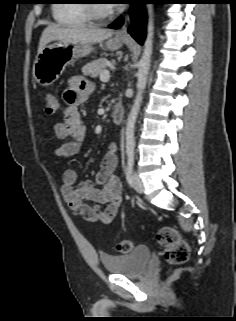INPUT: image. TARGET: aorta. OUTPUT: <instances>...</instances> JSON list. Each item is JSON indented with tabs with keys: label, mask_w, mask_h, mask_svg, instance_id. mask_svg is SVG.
I'll use <instances>...</instances> for the list:
<instances>
[{
	"label": "aorta",
	"mask_w": 236,
	"mask_h": 321,
	"mask_svg": "<svg viewBox=\"0 0 236 321\" xmlns=\"http://www.w3.org/2000/svg\"><path fill=\"white\" fill-rule=\"evenodd\" d=\"M147 36L144 42V49L142 57L138 63L137 76V94L134 100L132 109L128 115L125 128V140H126V149L127 151H132L134 149L135 138V123L140 111L141 102L143 98V92L147 83V76L149 72L151 56L153 51V35H154V6L152 4H147Z\"/></svg>",
	"instance_id": "1"
}]
</instances>
